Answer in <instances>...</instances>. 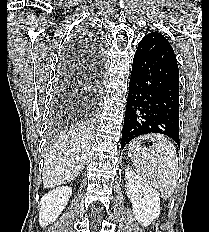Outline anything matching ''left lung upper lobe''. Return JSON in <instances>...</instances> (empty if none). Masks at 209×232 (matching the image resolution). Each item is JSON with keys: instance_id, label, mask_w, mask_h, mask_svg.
<instances>
[{"instance_id": "1", "label": "left lung upper lobe", "mask_w": 209, "mask_h": 232, "mask_svg": "<svg viewBox=\"0 0 209 232\" xmlns=\"http://www.w3.org/2000/svg\"><path fill=\"white\" fill-rule=\"evenodd\" d=\"M144 38H161V39L165 40L170 45V43L167 41V39L161 33H158V32H151V33L145 35Z\"/></svg>"}]
</instances>
